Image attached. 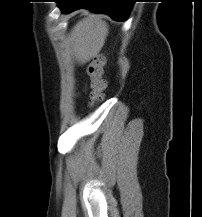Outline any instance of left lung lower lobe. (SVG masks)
Returning a JSON list of instances; mask_svg holds the SVG:
<instances>
[{
  "instance_id": "0a47b994",
  "label": "left lung lower lobe",
  "mask_w": 202,
  "mask_h": 217,
  "mask_svg": "<svg viewBox=\"0 0 202 217\" xmlns=\"http://www.w3.org/2000/svg\"><path fill=\"white\" fill-rule=\"evenodd\" d=\"M62 13L86 8L96 13L108 14L116 21L127 19L135 0H56Z\"/></svg>"
}]
</instances>
